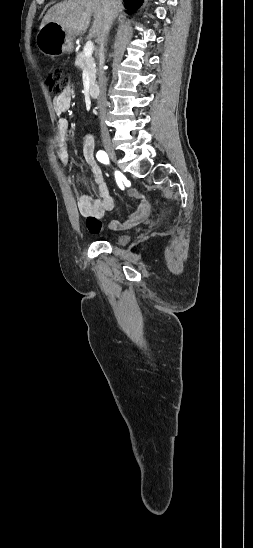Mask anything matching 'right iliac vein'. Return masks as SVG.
<instances>
[{
	"label": "right iliac vein",
	"instance_id": "63e3f726",
	"mask_svg": "<svg viewBox=\"0 0 253 548\" xmlns=\"http://www.w3.org/2000/svg\"><path fill=\"white\" fill-rule=\"evenodd\" d=\"M104 148L107 152V154L109 155V157L113 160V161H117V154L113 148V146L110 144V143H105L104 144Z\"/></svg>",
	"mask_w": 253,
	"mask_h": 548
}]
</instances>
